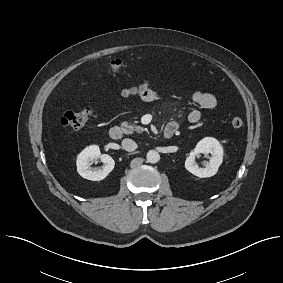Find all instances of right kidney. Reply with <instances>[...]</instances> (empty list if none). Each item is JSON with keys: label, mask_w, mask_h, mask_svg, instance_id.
<instances>
[{"label": "right kidney", "mask_w": 283, "mask_h": 283, "mask_svg": "<svg viewBox=\"0 0 283 283\" xmlns=\"http://www.w3.org/2000/svg\"><path fill=\"white\" fill-rule=\"evenodd\" d=\"M95 159H100L103 166L99 169H92L91 163ZM115 161L108 154H101L98 146L93 145L85 148L77 157V171L81 177L91 180L100 181L113 170Z\"/></svg>", "instance_id": "right-kidney-1"}]
</instances>
